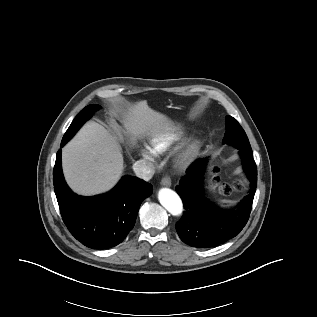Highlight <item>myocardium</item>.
Segmentation results:
<instances>
[{"instance_id":"obj_1","label":"myocardium","mask_w":317,"mask_h":317,"mask_svg":"<svg viewBox=\"0 0 317 317\" xmlns=\"http://www.w3.org/2000/svg\"><path fill=\"white\" fill-rule=\"evenodd\" d=\"M199 153V143L196 139L185 141L177 150L175 164L179 169L187 168Z\"/></svg>"}]
</instances>
